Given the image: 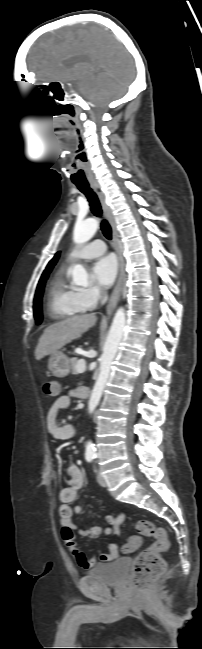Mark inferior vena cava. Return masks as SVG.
<instances>
[{"label": "inferior vena cava", "mask_w": 202, "mask_h": 649, "mask_svg": "<svg viewBox=\"0 0 202 649\" xmlns=\"http://www.w3.org/2000/svg\"><path fill=\"white\" fill-rule=\"evenodd\" d=\"M107 298H108L107 295H105L104 298L102 299V304H104L107 301Z\"/></svg>", "instance_id": "inferior-vena-cava-1"}]
</instances>
